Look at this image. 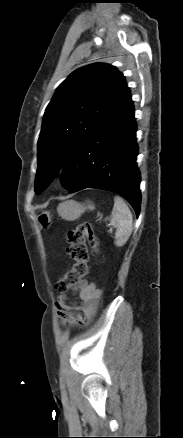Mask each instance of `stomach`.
<instances>
[{"label":"stomach","mask_w":183,"mask_h":438,"mask_svg":"<svg viewBox=\"0 0 183 438\" xmlns=\"http://www.w3.org/2000/svg\"><path fill=\"white\" fill-rule=\"evenodd\" d=\"M92 204L78 203L74 200H67L59 204L57 211L59 216L67 221H74L78 219L87 209H93ZM37 221L41 229L47 230L51 227L52 221L48 211H41L37 214Z\"/></svg>","instance_id":"0dacf381"}]
</instances>
